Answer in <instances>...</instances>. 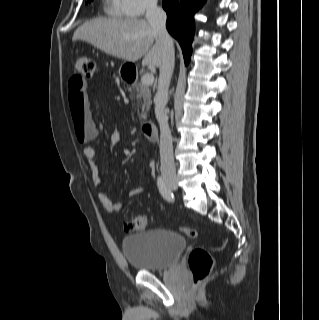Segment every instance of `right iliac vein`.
I'll list each match as a JSON object with an SVG mask.
<instances>
[{"instance_id": "63e3f726", "label": "right iliac vein", "mask_w": 319, "mask_h": 320, "mask_svg": "<svg viewBox=\"0 0 319 320\" xmlns=\"http://www.w3.org/2000/svg\"><path fill=\"white\" fill-rule=\"evenodd\" d=\"M165 182L166 184L171 187L172 189H177V180L176 178H173V177H166L165 178Z\"/></svg>"}]
</instances>
